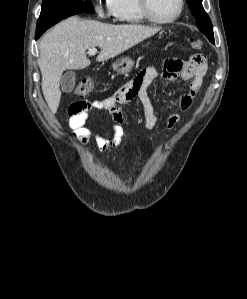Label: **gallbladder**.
<instances>
[{"mask_svg": "<svg viewBox=\"0 0 247 299\" xmlns=\"http://www.w3.org/2000/svg\"><path fill=\"white\" fill-rule=\"evenodd\" d=\"M75 80H76L75 72L72 70L66 71L60 79V85L62 91L65 93L72 92L75 86Z\"/></svg>", "mask_w": 247, "mask_h": 299, "instance_id": "bac80fb5", "label": "gallbladder"}]
</instances>
